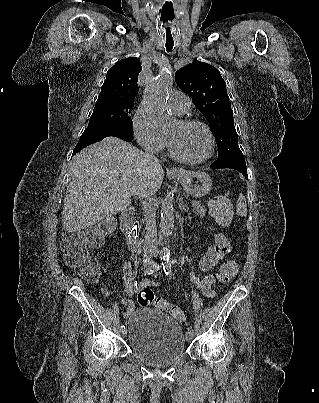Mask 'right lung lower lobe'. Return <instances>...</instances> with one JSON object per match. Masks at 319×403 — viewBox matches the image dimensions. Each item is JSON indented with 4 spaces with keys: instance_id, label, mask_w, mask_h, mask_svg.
<instances>
[{
    "instance_id": "98d812e1",
    "label": "right lung lower lobe",
    "mask_w": 319,
    "mask_h": 403,
    "mask_svg": "<svg viewBox=\"0 0 319 403\" xmlns=\"http://www.w3.org/2000/svg\"><path fill=\"white\" fill-rule=\"evenodd\" d=\"M108 136H115L125 141L133 140V132L131 133L129 131H126L121 127L116 126L88 127L84 130L83 134L81 135L79 142L75 147L74 153L79 152L86 146L101 141L103 138Z\"/></svg>"
}]
</instances>
